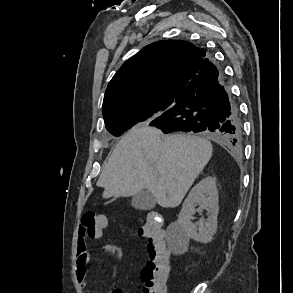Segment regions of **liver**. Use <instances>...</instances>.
<instances>
[{
	"label": "liver",
	"mask_w": 293,
	"mask_h": 293,
	"mask_svg": "<svg viewBox=\"0 0 293 293\" xmlns=\"http://www.w3.org/2000/svg\"><path fill=\"white\" fill-rule=\"evenodd\" d=\"M207 139L164 135L146 124L133 127L113 150L97 182L103 198L129 197L146 189L163 208H175L212 156Z\"/></svg>",
	"instance_id": "obj_1"
}]
</instances>
